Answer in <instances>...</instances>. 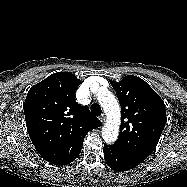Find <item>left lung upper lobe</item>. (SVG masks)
<instances>
[{
    "label": "left lung upper lobe",
    "mask_w": 187,
    "mask_h": 187,
    "mask_svg": "<svg viewBox=\"0 0 187 187\" xmlns=\"http://www.w3.org/2000/svg\"><path fill=\"white\" fill-rule=\"evenodd\" d=\"M110 82L121 105L120 133L112 146L142 162L154 151L164 129V102L139 77L127 75L120 82Z\"/></svg>",
    "instance_id": "obj_1"
}]
</instances>
